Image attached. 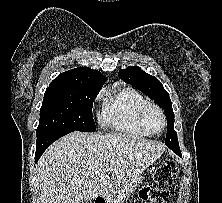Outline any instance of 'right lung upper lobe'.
Listing matches in <instances>:
<instances>
[{"label":"right lung upper lobe","mask_w":222,"mask_h":203,"mask_svg":"<svg viewBox=\"0 0 222 203\" xmlns=\"http://www.w3.org/2000/svg\"><path fill=\"white\" fill-rule=\"evenodd\" d=\"M107 78L99 71L88 67H78L61 73L47 89L101 90Z\"/></svg>","instance_id":"cb5924a9"}]
</instances>
